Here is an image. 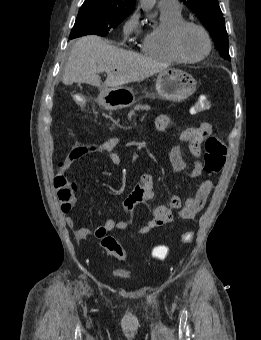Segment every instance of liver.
Wrapping results in <instances>:
<instances>
[{"instance_id":"6515ba94","label":"liver","mask_w":261,"mask_h":340,"mask_svg":"<svg viewBox=\"0 0 261 340\" xmlns=\"http://www.w3.org/2000/svg\"><path fill=\"white\" fill-rule=\"evenodd\" d=\"M166 68V64L157 60L109 45L99 36L88 35L74 43L62 82L65 85L86 83L101 89L114 88L142 81ZM101 72L107 73L103 84L99 76Z\"/></svg>"}]
</instances>
